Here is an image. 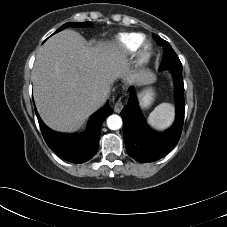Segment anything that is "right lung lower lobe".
<instances>
[{
    "mask_svg": "<svg viewBox=\"0 0 227 227\" xmlns=\"http://www.w3.org/2000/svg\"><path fill=\"white\" fill-rule=\"evenodd\" d=\"M42 135L48 145L61 158L72 163H84L90 160L98 150L101 125L112 114L108 102L96 112L88 122L87 131L79 136L57 133L50 130L40 119L35 110Z\"/></svg>",
    "mask_w": 227,
    "mask_h": 227,
    "instance_id": "right-lung-lower-lobe-1",
    "label": "right lung lower lobe"
}]
</instances>
